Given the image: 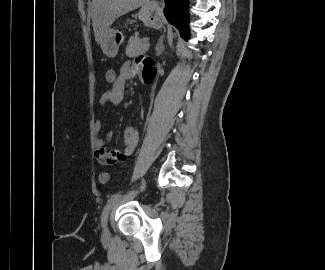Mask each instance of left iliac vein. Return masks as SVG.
<instances>
[{
	"label": "left iliac vein",
	"mask_w": 325,
	"mask_h": 270,
	"mask_svg": "<svg viewBox=\"0 0 325 270\" xmlns=\"http://www.w3.org/2000/svg\"><path fill=\"white\" fill-rule=\"evenodd\" d=\"M104 233H105V234H108V233H109V231H108V228H107V227H105V229H104Z\"/></svg>",
	"instance_id": "1"
}]
</instances>
